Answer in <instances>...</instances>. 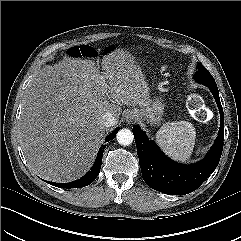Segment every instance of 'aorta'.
<instances>
[{
    "instance_id": "762f6f07",
    "label": "aorta",
    "mask_w": 241,
    "mask_h": 241,
    "mask_svg": "<svg viewBox=\"0 0 241 241\" xmlns=\"http://www.w3.org/2000/svg\"><path fill=\"white\" fill-rule=\"evenodd\" d=\"M116 138H117L118 143L120 145H124V146L130 145L134 140L133 133L129 129H121L117 133Z\"/></svg>"
}]
</instances>
